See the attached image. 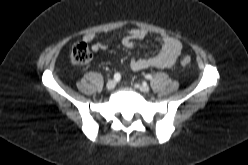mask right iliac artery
<instances>
[{
  "label": "right iliac artery",
  "mask_w": 248,
  "mask_h": 165,
  "mask_svg": "<svg viewBox=\"0 0 248 165\" xmlns=\"http://www.w3.org/2000/svg\"><path fill=\"white\" fill-rule=\"evenodd\" d=\"M120 78H121L120 73H115V74H114V79H115L116 81H119Z\"/></svg>",
  "instance_id": "right-iliac-artery-1"
}]
</instances>
